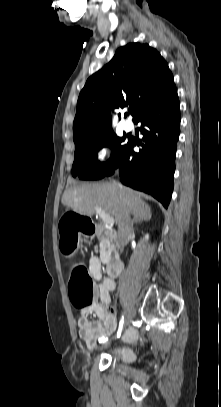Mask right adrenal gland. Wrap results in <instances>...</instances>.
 <instances>
[{
	"mask_svg": "<svg viewBox=\"0 0 221 407\" xmlns=\"http://www.w3.org/2000/svg\"><path fill=\"white\" fill-rule=\"evenodd\" d=\"M141 221L142 220L140 218L136 217V216L133 218V223L137 224V223H140Z\"/></svg>",
	"mask_w": 221,
	"mask_h": 407,
	"instance_id": "obj_1",
	"label": "right adrenal gland"
}]
</instances>
